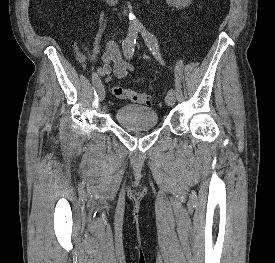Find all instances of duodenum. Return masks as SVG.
<instances>
[{
    "instance_id": "duodenum-1",
    "label": "duodenum",
    "mask_w": 275,
    "mask_h": 263,
    "mask_svg": "<svg viewBox=\"0 0 275 263\" xmlns=\"http://www.w3.org/2000/svg\"><path fill=\"white\" fill-rule=\"evenodd\" d=\"M106 1L110 4L117 5V4H120L123 0H106Z\"/></svg>"
}]
</instances>
